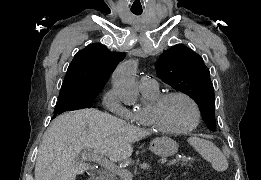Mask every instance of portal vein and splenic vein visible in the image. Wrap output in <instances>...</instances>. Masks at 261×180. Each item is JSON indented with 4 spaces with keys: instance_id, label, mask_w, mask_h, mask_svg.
Masks as SVG:
<instances>
[{
    "instance_id": "obj_1",
    "label": "portal vein and splenic vein",
    "mask_w": 261,
    "mask_h": 180,
    "mask_svg": "<svg viewBox=\"0 0 261 180\" xmlns=\"http://www.w3.org/2000/svg\"><path fill=\"white\" fill-rule=\"evenodd\" d=\"M86 156L88 154L89 160H92V162H101V164H105V162H108L110 164L108 170H112V172H115L117 176H120L121 180H133V174L129 172V170H126V168H118L116 164H113V162H109V160H106V158H101V156H98V154H95V152H92V150H89V148H85ZM177 163H181V158H171L170 161H167L168 167H173L174 165H177Z\"/></svg>"
}]
</instances>
